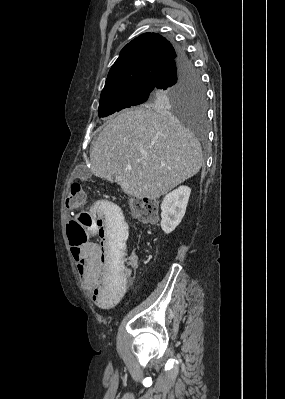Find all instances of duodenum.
Returning a JSON list of instances; mask_svg holds the SVG:
<instances>
[{"mask_svg":"<svg viewBox=\"0 0 285 399\" xmlns=\"http://www.w3.org/2000/svg\"><path fill=\"white\" fill-rule=\"evenodd\" d=\"M106 214H107V213L105 212V213H104V216H106Z\"/></svg>","mask_w":285,"mask_h":399,"instance_id":"duodenum-1","label":"duodenum"}]
</instances>
